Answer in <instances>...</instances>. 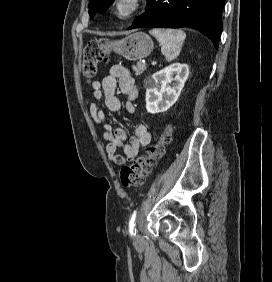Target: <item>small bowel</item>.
<instances>
[{
  "label": "small bowel",
  "mask_w": 272,
  "mask_h": 282,
  "mask_svg": "<svg viewBox=\"0 0 272 282\" xmlns=\"http://www.w3.org/2000/svg\"><path fill=\"white\" fill-rule=\"evenodd\" d=\"M117 88L127 98L125 110L129 114L135 111L134 101L139 95V87L134 81L131 73L122 65H113L109 73L101 80L92 84L93 96L96 100H103L107 109L113 113H121V102L116 96ZM90 114L94 120L105 129L104 139L108 142L106 153L108 159L115 164H126L135 159L141 148L147 146L151 140L145 125H138L134 130V136L126 143L127 134L121 127H113L106 122L104 111L97 103L90 105ZM123 148V153H118L117 149Z\"/></svg>",
  "instance_id": "c3829d8e"
}]
</instances>
